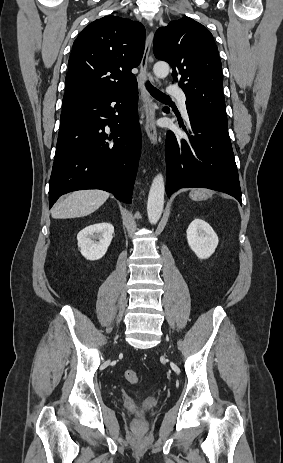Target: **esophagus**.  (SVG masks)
<instances>
[{"instance_id":"34e87169","label":"esophagus","mask_w":283,"mask_h":463,"mask_svg":"<svg viewBox=\"0 0 283 463\" xmlns=\"http://www.w3.org/2000/svg\"><path fill=\"white\" fill-rule=\"evenodd\" d=\"M153 42V32H149L146 38V45L143 54V58L140 64V88L141 94L143 97L144 102V109L146 114V124L145 130L147 136L149 137L152 144H157V130L155 126V118H156V103L153 101V98L147 91L146 82L150 73L148 72V65L150 63V50Z\"/></svg>"}]
</instances>
